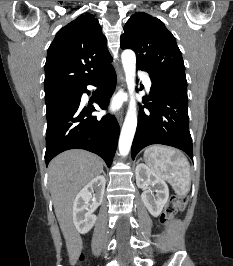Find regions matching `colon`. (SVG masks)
Returning a JSON list of instances; mask_svg holds the SVG:
<instances>
[{
    "instance_id": "colon-1",
    "label": "colon",
    "mask_w": 233,
    "mask_h": 266,
    "mask_svg": "<svg viewBox=\"0 0 233 266\" xmlns=\"http://www.w3.org/2000/svg\"><path fill=\"white\" fill-rule=\"evenodd\" d=\"M186 204H187V198L185 196L178 194L171 195L165 206V211L162 221H164L165 223L169 222L178 211H181L185 208ZM84 259L85 256L83 253H81L76 257V260L79 265H81Z\"/></svg>"
}]
</instances>
